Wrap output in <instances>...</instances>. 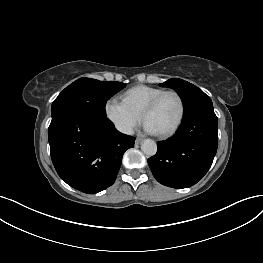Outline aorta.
Returning <instances> with one entry per match:
<instances>
[{
    "label": "aorta",
    "mask_w": 263,
    "mask_h": 263,
    "mask_svg": "<svg viewBox=\"0 0 263 263\" xmlns=\"http://www.w3.org/2000/svg\"><path fill=\"white\" fill-rule=\"evenodd\" d=\"M142 152L147 156H153L157 152V144L151 139H146L141 144Z\"/></svg>",
    "instance_id": "aorta-1"
}]
</instances>
